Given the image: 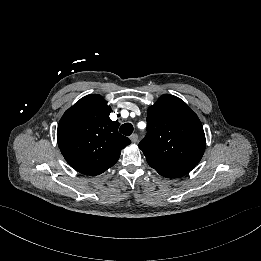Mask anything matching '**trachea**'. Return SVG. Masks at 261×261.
Here are the masks:
<instances>
[{"label": "trachea", "instance_id": "obj_1", "mask_svg": "<svg viewBox=\"0 0 261 261\" xmlns=\"http://www.w3.org/2000/svg\"><path fill=\"white\" fill-rule=\"evenodd\" d=\"M133 129L134 128L131 123H125L120 127L119 131L125 136H130L133 132Z\"/></svg>", "mask_w": 261, "mask_h": 261}]
</instances>
